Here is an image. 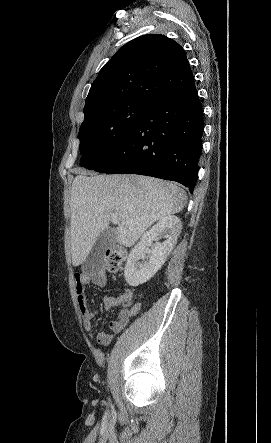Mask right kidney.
<instances>
[{"instance_id":"right-kidney-1","label":"right kidney","mask_w":271,"mask_h":443,"mask_svg":"<svg viewBox=\"0 0 271 443\" xmlns=\"http://www.w3.org/2000/svg\"><path fill=\"white\" fill-rule=\"evenodd\" d=\"M181 229L182 225L177 216H164L158 223L152 225L149 231L143 233L140 241L132 247L126 261L124 275L129 285H140L155 275L156 271L167 261V257L177 243ZM161 237L165 239L162 243H158L157 239ZM151 243H153L152 249L147 247ZM144 253H149V259L139 261V259H145Z\"/></svg>"}]
</instances>
